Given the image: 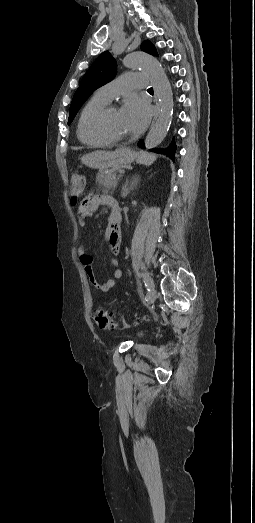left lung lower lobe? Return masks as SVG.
I'll return each mask as SVG.
<instances>
[{"label":"left lung lower lobe","instance_id":"obj_1","mask_svg":"<svg viewBox=\"0 0 255 523\" xmlns=\"http://www.w3.org/2000/svg\"><path fill=\"white\" fill-rule=\"evenodd\" d=\"M174 133H177V130H174ZM176 144H177V141L175 139H171L167 143L166 147H159L157 149V152L159 154H167V157L169 158V160L171 162H175V161H177V153H175L176 148H177ZM138 145L141 149H144L146 147V144L143 142V140H138Z\"/></svg>","mask_w":255,"mask_h":523}]
</instances>
